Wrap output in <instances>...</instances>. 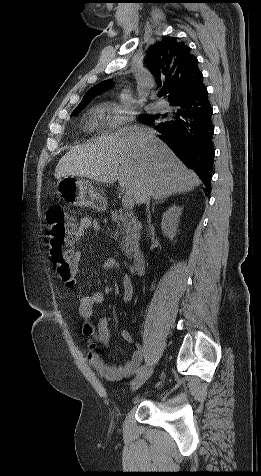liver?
<instances>
[{"label": "liver", "mask_w": 261, "mask_h": 476, "mask_svg": "<svg viewBox=\"0 0 261 476\" xmlns=\"http://www.w3.org/2000/svg\"><path fill=\"white\" fill-rule=\"evenodd\" d=\"M54 176L57 180L86 177L106 184L118 181L138 205L147 198L165 199L201 184L156 131L136 124L70 149L59 160Z\"/></svg>", "instance_id": "1"}]
</instances>
